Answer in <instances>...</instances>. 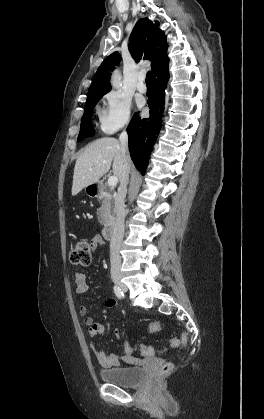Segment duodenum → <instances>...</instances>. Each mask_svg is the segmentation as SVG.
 I'll return each instance as SVG.
<instances>
[{
    "mask_svg": "<svg viewBox=\"0 0 264 419\" xmlns=\"http://www.w3.org/2000/svg\"><path fill=\"white\" fill-rule=\"evenodd\" d=\"M103 193L102 186L100 184H95L92 186L91 195L95 197H100ZM115 233V222L109 221L103 228L102 235L106 240L113 238Z\"/></svg>",
    "mask_w": 264,
    "mask_h": 419,
    "instance_id": "1",
    "label": "duodenum"
}]
</instances>
